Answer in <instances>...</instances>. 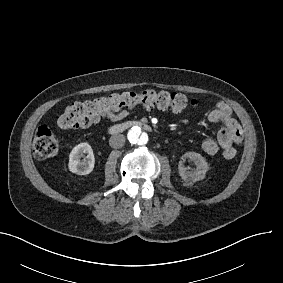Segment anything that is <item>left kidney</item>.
I'll return each instance as SVG.
<instances>
[{"instance_id": "left-kidney-1", "label": "left kidney", "mask_w": 283, "mask_h": 283, "mask_svg": "<svg viewBox=\"0 0 283 283\" xmlns=\"http://www.w3.org/2000/svg\"><path fill=\"white\" fill-rule=\"evenodd\" d=\"M186 159H191L196 164V169L188 171L187 167L184 165ZM209 167L206 162V159L202 157L199 153L196 152H187L182 156V160L179 161L178 171L179 175L185 182H196L203 180L205 174L208 171Z\"/></svg>"}]
</instances>
